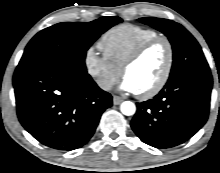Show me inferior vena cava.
<instances>
[{
  "label": "inferior vena cava",
  "mask_w": 220,
  "mask_h": 173,
  "mask_svg": "<svg viewBox=\"0 0 220 173\" xmlns=\"http://www.w3.org/2000/svg\"><path fill=\"white\" fill-rule=\"evenodd\" d=\"M113 83L109 80H102L99 82V87L105 91L112 89Z\"/></svg>",
  "instance_id": "inferior-vena-cava-1"
}]
</instances>
